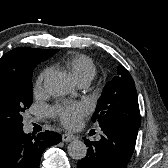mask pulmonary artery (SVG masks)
I'll list each match as a JSON object with an SVG mask.
<instances>
[{"mask_svg":"<svg viewBox=\"0 0 168 168\" xmlns=\"http://www.w3.org/2000/svg\"><path fill=\"white\" fill-rule=\"evenodd\" d=\"M89 82L90 81H81V82L78 83V86L80 88H85V87H87L89 85Z\"/></svg>","mask_w":168,"mask_h":168,"instance_id":"1","label":"pulmonary artery"}]
</instances>
